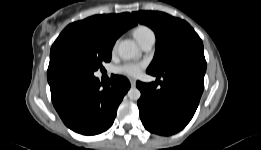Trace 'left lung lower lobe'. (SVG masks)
Masks as SVG:
<instances>
[{
	"instance_id": "left-lung-lower-lobe-1",
	"label": "left lung lower lobe",
	"mask_w": 261,
	"mask_h": 150,
	"mask_svg": "<svg viewBox=\"0 0 261 150\" xmlns=\"http://www.w3.org/2000/svg\"><path fill=\"white\" fill-rule=\"evenodd\" d=\"M205 71L206 61L196 58L180 60L161 74L147 70L157 80L136 83L141 91L138 107L144 127L159 135H172L182 130L198 107Z\"/></svg>"
}]
</instances>
